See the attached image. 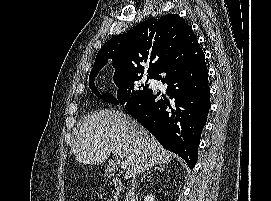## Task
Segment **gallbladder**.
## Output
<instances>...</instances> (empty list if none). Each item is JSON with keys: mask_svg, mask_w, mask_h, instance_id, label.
Wrapping results in <instances>:
<instances>
[{"mask_svg": "<svg viewBox=\"0 0 271 201\" xmlns=\"http://www.w3.org/2000/svg\"><path fill=\"white\" fill-rule=\"evenodd\" d=\"M112 163H109V166L107 167V169L105 170V174L108 176V177H111L113 174H112Z\"/></svg>", "mask_w": 271, "mask_h": 201, "instance_id": "obj_1", "label": "gallbladder"}]
</instances>
